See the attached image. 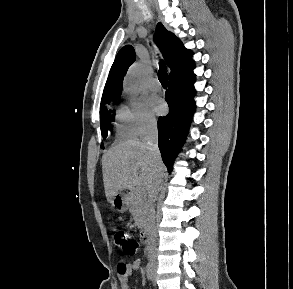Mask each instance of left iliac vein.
I'll list each match as a JSON object with an SVG mask.
<instances>
[{"mask_svg": "<svg viewBox=\"0 0 293 289\" xmlns=\"http://www.w3.org/2000/svg\"><path fill=\"white\" fill-rule=\"evenodd\" d=\"M156 278H155V273H153V282H155Z\"/></svg>", "mask_w": 293, "mask_h": 289, "instance_id": "4c4485c4", "label": "left iliac vein"}]
</instances>
